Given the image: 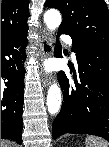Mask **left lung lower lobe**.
<instances>
[{"label":"left lung lower lobe","instance_id":"1","mask_svg":"<svg viewBox=\"0 0 109 147\" xmlns=\"http://www.w3.org/2000/svg\"><path fill=\"white\" fill-rule=\"evenodd\" d=\"M58 32L73 38L78 69L70 67L72 79L64 71L58 73L63 103L53 122V138L82 133L109 141V48L75 36L67 29L59 28ZM55 55L62 57L58 49Z\"/></svg>","mask_w":109,"mask_h":147}]
</instances>
